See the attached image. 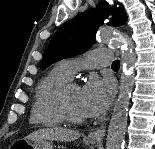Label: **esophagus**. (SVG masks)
Segmentation results:
<instances>
[{
  "label": "esophagus",
  "instance_id": "34e87169",
  "mask_svg": "<svg viewBox=\"0 0 155 149\" xmlns=\"http://www.w3.org/2000/svg\"><path fill=\"white\" fill-rule=\"evenodd\" d=\"M106 127L101 126L97 130L90 132L87 136V140L90 142H101L105 136Z\"/></svg>",
  "mask_w": 155,
  "mask_h": 149
}]
</instances>
